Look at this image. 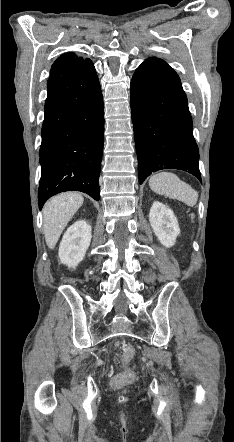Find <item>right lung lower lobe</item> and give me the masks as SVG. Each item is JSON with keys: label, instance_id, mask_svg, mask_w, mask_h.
I'll use <instances>...</instances> for the list:
<instances>
[{"label": "right lung lower lobe", "instance_id": "right-lung-lower-lobe-1", "mask_svg": "<svg viewBox=\"0 0 234 442\" xmlns=\"http://www.w3.org/2000/svg\"><path fill=\"white\" fill-rule=\"evenodd\" d=\"M47 88L39 151V207L69 190L99 200L104 110L93 63L71 75L49 78Z\"/></svg>", "mask_w": 234, "mask_h": 442}]
</instances>
